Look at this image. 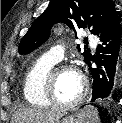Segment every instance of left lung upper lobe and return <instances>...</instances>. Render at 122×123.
<instances>
[{"instance_id": "left-lung-upper-lobe-1", "label": "left lung upper lobe", "mask_w": 122, "mask_h": 123, "mask_svg": "<svg viewBox=\"0 0 122 123\" xmlns=\"http://www.w3.org/2000/svg\"><path fill=\"white\" fill-rule=\"evenodd\" d=\"M115 14L110 0H51L48 8L22 38L19 52L26 54L39 47L48 39L52 25L58 22L72 29L91 28V33L98 36ZM83 56L87 63L91 57L90 51L85 50Z\"/></svg>"}]
</instances>
